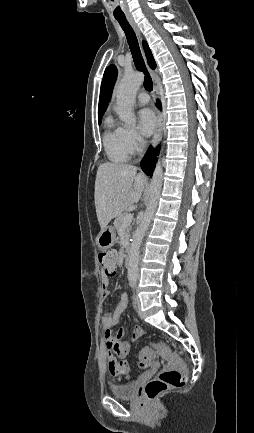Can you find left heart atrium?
Returning <instances> with one entry per match:
<instances>
[{
    "mask_svg": "<svg viewBox=\"0 0 254 433\" xmlns=\"http://www.w3.org/2000/svg\"><path fill=\"white\" fill-rule=\"evenodd\" d=\"M138 122L140 132L145 136H149L156 125L155 113L149 108L142 109L138 114Z\"/></svg>",
    "mask_w": 254,
    "mask_h": 433,
    "instance_id": "left-heart-atrium-1",
    "label": "left heart atrium"
}]
</instances>
